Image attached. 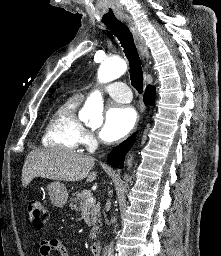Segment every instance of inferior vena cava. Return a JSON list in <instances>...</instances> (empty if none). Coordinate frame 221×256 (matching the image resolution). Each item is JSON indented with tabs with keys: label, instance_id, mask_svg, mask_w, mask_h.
<instances>
[{
	"label": "inferior vena cava",
	"instance_id": "1",
	"mask_svg": "<svg viewBox=\"0 0 221 256\" xmlns=\"http://www.w3.org/2000/svg\"><path fill=\"white\" fill-rule=\"evenodd\" d=\"M108 256H113V245H112V243L110 244V246L108 248Z\"/></svg>",
	"mask_w": 221,
	"mask_h": 256
}]
</instances>
